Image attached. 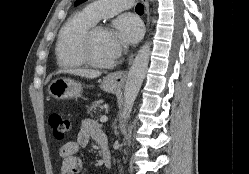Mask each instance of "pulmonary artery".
<instances>
[{
  "instance_id": "e3ab8cb5",
  "label": "pulmonary artery",
  "mask_w": 249,
  "mask_h": 174,
  "mask_svg": "<svg viewBox=\"0 0 249 174\" xmlns=\"http://www.w3.org/2000/svg\"><path fill=\"white\" fill-rule=\"evenodd\" d=\"M132 0H96L85 7V12L94 21L110 17L131 8Z\"/></svg>"
}]
</instances>
